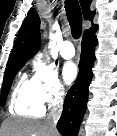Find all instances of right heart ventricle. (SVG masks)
Here are the masks:
<instances>
[{"mask_svg": "<svg viewBox=\"0 0 117 136\" xmlns=\"http://www.w3.org/2000/svg\"><path fill=\"white\" fill-rule=\"evenodd\" d=\"M12 113L26 117H40L44 107L39 103L33 93L31 79L22 75L17 80L10 99Z\"/></svg>", "mask_w": 117, "mask_h": 136, "instance_id": "obj_1", "label": "right heart ventricle"}]
</instances>
